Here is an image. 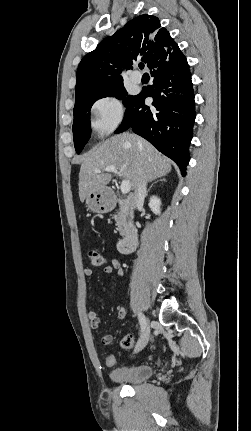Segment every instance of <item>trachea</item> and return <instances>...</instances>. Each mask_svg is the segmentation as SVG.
I'll use <instances>...</instances> for the list:
<instances>
[{
  "instance_id": "1",
  "label": "trachea",
  "mask_w": 251,
  "mask_h": 431,
  "mask_svg": "<svg viewBox=\"0 0 251 431\" xmlns=\"http://www.w3.org/2000/svg\"><path fill=\"white\" fill-rule=\"evenodd\" d=\"M139 68H140V69H143V68H144V64H143V63H140V64H139Z\"/></svg>"
}]
</instances>
